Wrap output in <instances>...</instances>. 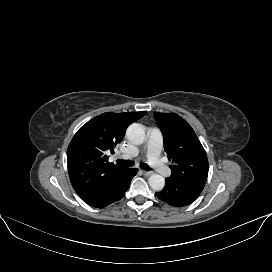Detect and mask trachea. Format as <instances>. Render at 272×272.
I'll list each match as a JSON object with an SVG mask.
<instances>
[{
    "instance_id": "3493384b",
    "label": "trachea",
    "mask_w": 272,
    "mask_h": 272,
    "mask_svg": "<svg viewBox=\"0 0 272 272\" xmlns=\"http://www.w3.org/2000/svg\"><path fill=\"white\" fill-rule=\"evenodd\" d=\"M117 162L123 167H131L134 165V162L131 160H117ZM140 168L145 171H151V168L146 163H141Z\"/></svg>"
}]
</instances>
